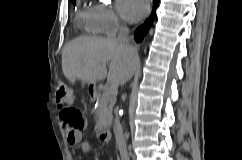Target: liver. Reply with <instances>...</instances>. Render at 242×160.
Listing matches in <instances>:
<instances>
[{"mask_svg": "<svg viewBox=\"0 0 242 160\" xmlns=\"http://www.w3.org/2000/svg\"><path fill=\"white\" fill-rule=\"evenodd\" d=\"M126 47L112 38L79 37L67 43L62 50V71L64 76L75 83L76 79L95 84L107 77V84L112 93L120 84V58ZM109 63V71L106 65ZM138 64L134 63V68ZM134 73H131V77ZM130 79V78H129ZM128 79V80H129Z\"/></svg>", "mask_w": 242, "mask_h": 160, "instance_id": "6515ba94", "label": "liver"}]
</instances>
